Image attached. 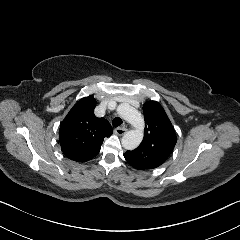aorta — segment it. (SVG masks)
Returning a JSON list of instances; mask_svg holds the SVG:
<instances>
[{
	"label": "aorta",
	"mask_w": 240,
	"mask_h": 240,
	"mask_svg": "<svg viewBox=\"0 0 240 240\" xmlns=\"http://www.w3.org/2000/svg\"><path fill=\"white\" fill-rule=\"evenodd\" d=\"M118 112L134 128L126 132L122 137L123 147L133 150L141 144L144 137L145 122L143 116L135 108L124 105L119 107Z\"/></svg>",
	"instance_id": "obj_1"
}]
</instances>
